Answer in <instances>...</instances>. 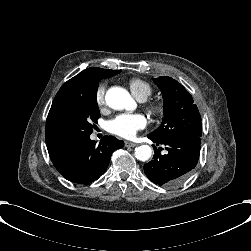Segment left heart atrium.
Instances as JSON below:
<instances>
[{"label": "left heart atrium", "instance_id": "obj_1", "mask_svg": "<svg viewBox=\"0 0 251 251\" xmlns=\"http://www.w3.org/2000/svg\"><path fill=\"white\" fill-rule=\"evenodd\" d=\"M146 124L147 119L143 114L123 113L108 121L107 129L115 135L129 138L135 135L138 130L144 128Z\"/></svg>", "mask_w": 251, "mask_h": 251}]
</instances>
